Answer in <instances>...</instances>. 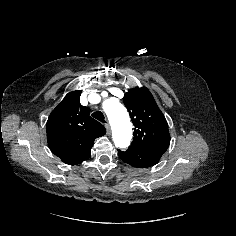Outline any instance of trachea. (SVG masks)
Returning <instances> with one entry per match:
<instances>
[{
    "instance_id": "obj_1",
    "label": "trachea",
    "mask_w": 236,
    "mask_h": 236,
    "mask_svg": "<svg viewBox=\"0 0 236 236\" xmlns=\"http://www.w3.org/2000/svg\"><path fill=\"white\" fill-rule=\"evenodd\" d=\"M92 117L97 119L98 121L102 123H106L104 114L101 111H96L92 114Z\"/></svg>"
}]
</instances>
